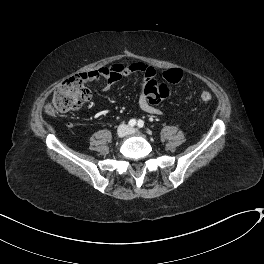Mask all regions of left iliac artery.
Instances as JSON below:
<instances>
[{"mask_svg": "<svg viewBox=\"0 0 264 264\" xmlns=\"http://www.w3.org/2000/svg\"><path fill=\"white\" fill-rule=\"evenodd\" d=\"M137 126L139 128H143L144 127V122L142 120H138Z\"/></svg>", "mask_w": 264, "mask_h": 264, "instance_id": "1", "label": "left iliac artery"}]
</instances>
